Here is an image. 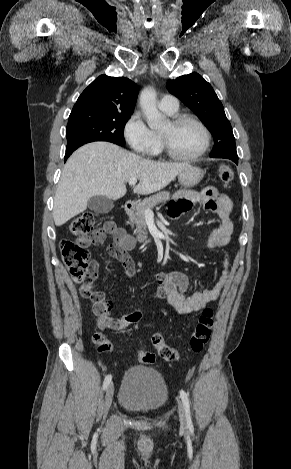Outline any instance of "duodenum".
I'll return each instance as SVG.
<instances>
[{
  "label": "duodenum",
  "mask_w": 291,
  "mask_h": 469,
  "mask_svg": "<svg viewBox=\"0 0 291 469\" xmlns=\"http://www.w3.org/2000/svg\"><path fill=\"white\" fill-rule=\"evenodd\" d=\"M134 209H135V203L133 201L129 200L125 203L124 210L126 214L133 213Z\"/></svg>",
  "instance_id": "410a0bca"
}]
</instances>
